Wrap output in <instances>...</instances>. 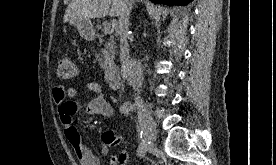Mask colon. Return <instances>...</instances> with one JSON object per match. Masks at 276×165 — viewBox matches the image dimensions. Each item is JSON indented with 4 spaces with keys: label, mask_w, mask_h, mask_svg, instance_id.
Listing matches in <instances>:
<instances>
[{
    "label": "colon",
    "mask_w": 276,
    "mask_h": 165,
    "mask_svg": "<svg viewBox=\"0 0 276 165\" xmlns=\"http://www.w3.org/2000/svg\"><path fill=\"white\" fill-rule=\"evenodd\" d=\"M77 69L73 61L69 57H61L58 61L57 75L61 80H69L76 76ZM102 140L110 146H118L123 144L124 140L113 130H106L102 134Z\"/></svg>",
    "instance_id": "5ec220e1"
}]
</instances>
